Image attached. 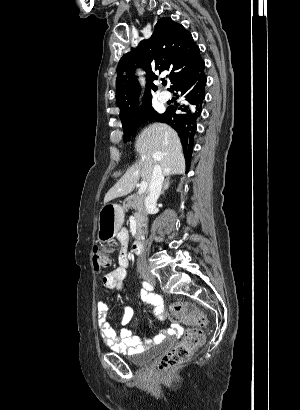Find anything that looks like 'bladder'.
I'll return each mask as SVG.
<instances>
[{
	"label": "bladder",
	"instance_id": "bladder-1",
	"mask_svg": "<svg viewBox=\"0 0 300 410\" xmlns=\"http://www.w3.org/2000/svg\"><path fill=\"white\" fill-rule=\"evenodd\" d=\"M153 355H154V350L149 349V350L144 351L141 354H135V355L128 356L127 359L133 365L142 366V365L147 364L152 359Z\"/></svg>",
	"mask_w": 300,
	"mask_h": 410
}]
</instances>
